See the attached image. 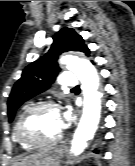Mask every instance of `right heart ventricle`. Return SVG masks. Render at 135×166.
Wrapping results in <instances>:
<instances>
[{
	"mask_svg": "<svg viewBox=\"0 0 135 166\" xmlns=\"http://www.w3.org/2000/svg\"><path fill=\"white\" fill-rule=\"evenodd\" d=\"M16 122H17V121H16ZM15 125H16V123H15ZM15 125H14V128H13V137H14L15 141H16L23 149H31L32 147L26 146V145H24V144H22V143L19 142V140H18L17 137H16Z\"/></svg>",
	"mask_w": 135,
	"mask_h": 166,
	"instance_id": "1",
	"label": "right heart ventricle"
}]
</instances>
